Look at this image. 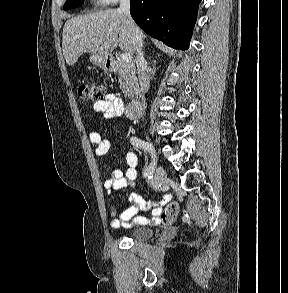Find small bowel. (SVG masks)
Masks as SVG:
<instances>
[{
  "mask_svg": "<svg viewBox=\"0 0 288 293\" xmlns=\"http://www.w3.org/2000/svg\"><path fill=\"white\" fill-rule=\"evenodd\" d=\"M93 108L96 112L102 113L105 119H112L122 115L127 111L128 116L134 121H137V114L133 113L131 109L126 108V104L119 96L108 93L101 101L95 102ZM89 142L94 148L97 156L101 157L106 155L111 149V141L105 138L101 132L93 131L89 135ZM126 171L116 169L113 171L110 179L104 183V189L107 197H111L113 192L130 186L137 178L138 157L134 152L126 154ZM170 199L169 195H165L160 202H146L139 194L133 193L129 197L130 205L124 209L118 218L111 220L113 228L126 227L130 225V220L133 219L135 224H152L159 223V215L162 212V206ZM139 208L149 209L152 208V219L148 221L143 216H136ZM109 213L115 216L117 213L116 206L113 203L109 205Z\"/></svg>",
  "mask_w": 288,
  "mask_h": 293,
  "instance_id": "1",
  "label": "small bowel"
}]
</instances>
